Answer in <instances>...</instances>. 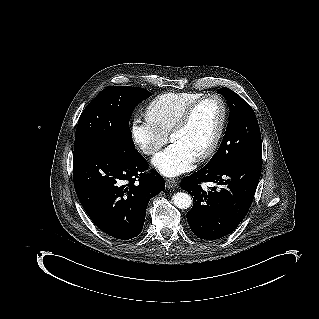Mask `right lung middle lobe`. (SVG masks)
<instances>
[{
    "label": "right lung middle lobe",
    "instance_id": "obj_1",
    "mask_svg": "<svg viewBox=\"0 0 319 319\" xmlns=\"http://www.w3.org/2000/svg\"><path fill=\"white\" fill-rule=\"evenodd\" d=\"M150 95L146 89L131 86L103 89L79 118L74 150L93 145L134 150L129 120L134 108Z\"/></svg>",
    "mask_w": 319,
    "mask_h": 319
}]
</instances>
